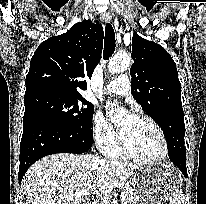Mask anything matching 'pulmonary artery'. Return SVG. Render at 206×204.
<instances>
[{
  "label": "pulmonary artery",
  "instance_id": "e3ab8cb5",
  "mask_svg": "<svg viewBox=\"0 0 206 204\" xmlns=\"http://www.w3.org/2000/svg\"><path fill=\"white\" fill-rule=\"evenodd\" d=\"M105 93L116 95H128L130 93V80L125 74L120 75L117 79L109 82L104 88Z\"/></svg>",
  "mask_w": 206,
  "mask_h": 204
}]
</instances>
